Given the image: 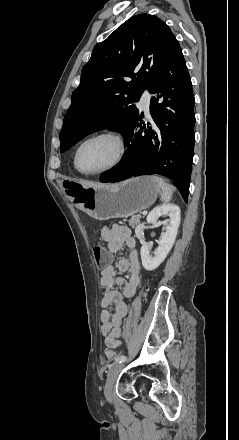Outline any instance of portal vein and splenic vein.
<instances>
[{
	"mask_svg": "<svg viewBox=\"0 0 239 440\" xmlns=\"http://www.w3.org/2000/svg\"><path fill=\"white\" fill-rule=\"evenodd\" d=\"M142 214H143V215H147V211L145 210Z\"/></svg>",
	"mask_w": 239,
	"mask_h": 440,
	"instance_id": "portal-vein-and-splenic-vein-1",
	"label": "portal vein and splenic vein"
}]
</instances>
